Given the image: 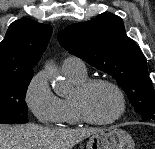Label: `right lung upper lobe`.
I'll use <instances>...</instances> for the list:
<instances>
[{
    "label": "right lung upper lobe",
    "mask_w": 155,
    "mask_h": 149,
    "mask_svg": "<svg viewBox=\"0 0 155 149\" xmlns=\"http://www.w3.org/2000/svg\"><path fill=\"white\" fill-rule=\"evenodd\" d=\"M52 34L50 25L22 18L13 22L0 43V77L33 72Z\"/></svg>",
    "instance_id": "right-lung-upper-lobe-1"
}]
</instances>
